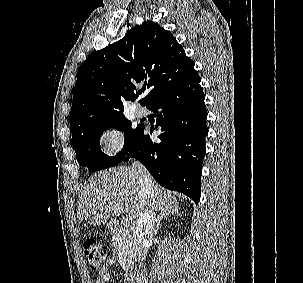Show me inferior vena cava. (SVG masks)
I'll use <instances>...</instances> for the list:
<instances>
[{"mask_svg":"<svg viewBox=\"0 0 303 283\" xmlns=\"http://www.w3.org/2000/svg\"><path fill=\"white\" fill-rule=\"evenodd\" d=\"M132 168L139 173L138 184L140 188L139 192V215L136 224V230L134 235V243L137 248V252L140 259L145 257L144 246L149 243L154 233V213L151 209L153 204V182L152 178L144 168V166L138 161L132 163Z\"/></svg>","mask_w":303,"mask_h":283,"instance_id":"602c4592","label":"inferior vena cava"}]
</instances>
